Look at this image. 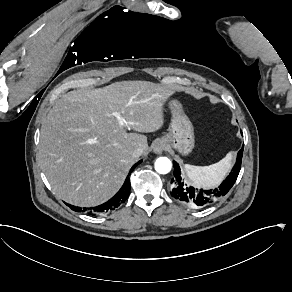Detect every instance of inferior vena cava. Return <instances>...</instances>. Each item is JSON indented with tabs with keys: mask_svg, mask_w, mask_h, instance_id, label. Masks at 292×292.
Returning a JSON list of instances; mask_svg holds the SVG:
<instances>
[{
	"mask_svg": "<svg viewBox=\"0 0 292 292\" xmlns=\"http://www.w3.org/2000/svg\"><path fill=\"white\" fill-rule=\"evenodd\" d=\"M143 153V149L142 148H136L133 152V157H140Z\"/></svg>",
	"mask_w": 292,
	"mask_h": 292,
	"instance_id": "1",
	"label": "inferior vena cava"
}]
</instances>
